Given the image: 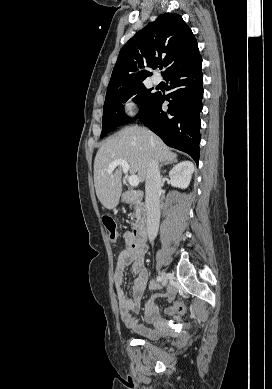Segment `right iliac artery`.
<instances>
[{"instance_id":"82829eb1","label":"right iliac artery","mask_w":272,"mask_h":389,"mask_svg":"<svg viewBox=\"0 0 272 389\" xmlns=\"http://www.w3.org/2000/svg\"><path fill=\"white\" fill-rule=\"evenodd\" d=\"M156 280H157L158 282H161V281H162V278H161L160 276H158V277L156 278Z\"/></svg>"}]
</instances>
